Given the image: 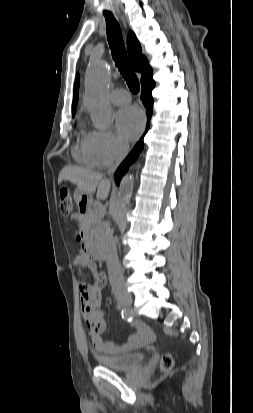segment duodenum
<instances>
[{
  "label": "duodenum",
  "instance_id": "410a0bca",
  "mask_svg": "<svg viewBox=\"0 0 253 413\" xmlns=\"http://www.w3.org/2000/svg\"><path fill=\"white\" fill-rule=\"evenodd\" d=\"M85 208H86V205L84 204L83 205V210L84 211H85ZM78 241L82 243L83 253L86 257H88L92 260H97V261H101V260L104 259L103 251L99 247L87 242L86 239H85L84 232L81 231L78 234Z\"/></svg>",
  "mask_w": 253,
  "mask_h": 413
}]
</instances>
